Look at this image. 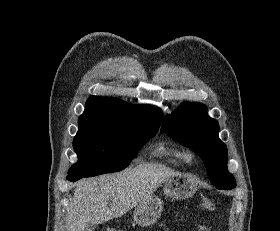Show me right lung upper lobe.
<instances>
[{
    "label": "right lung upper lobe",
    "mask_w": 280,
    "mask_h": 231,
    "mask_svg": "<svg viewBox=\"0 0 280 231\" xmlns=\"http://www.w3.org/2000/svg\"><path fill=\"white\" fill-rule=\"evenodd\" d=\"M91 118H111L144 126L159 128L163 114L161 110L149 105H129L112 97L91 96L79 120Z\"/></svg>",
    "instance_id": "right-lung-upper-lobe-1"
}]
</instances>
